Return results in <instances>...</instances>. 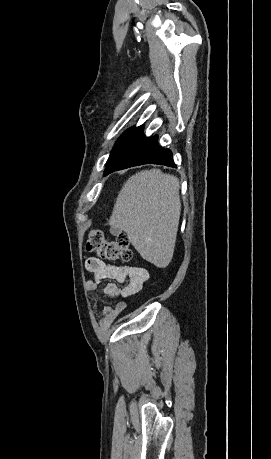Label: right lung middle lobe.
<instances>
[{
  "label": "right lung middle lobe",
  "mask_w": 271,
  "mask_h": 459,
  "mask_svg": "<svg viewBox=\"0 0 271 459\" xmlns=\"http://www.w3.org/2000/svg\"><path fill=\"white\" fill-rule=\"evenodd\" d=\"M142 129L143 128L141 126L132 128L130 129V131H128L118 139L107 161V165L124 147H126L138 134L142 132Z\"/></svg>",
  "instance_id": "obj_1"
}]
</instances>
